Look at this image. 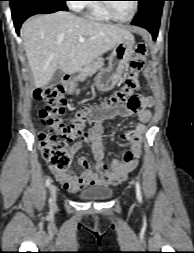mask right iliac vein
Segmentation results:
<instances>
[{
    "instance_id": "1",
    "label": "right iliac vein",
    "mask_w": 194,
    "mask_h": 253,
    "mask_svg": "<svg viewBox=\"0 0 194 253\" xmlns=\"http://www.w3.org/2000/svg\"><path fill=\"white\" fill-rule=\"evenodd\" d=\"M56 197H57V188L52 185L51 186V199H52V206L56 204Z\"/></svg>"
}]
</instances>
